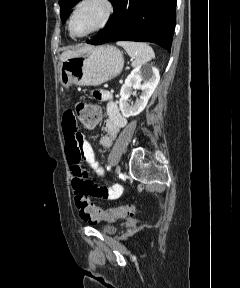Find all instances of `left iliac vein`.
Here are the masks:
<instances>
[{
	"label": "left iliac vein",
	"mask_w": 240,
	"mask_h": 288,
	"mask_svg": "<svg viewBox=\"0 0 240 288\" xmlns=\"http://www.w3.org/2000/svg\"><path fill=\"white\" fill-rule=\"evenodd\" d=\"M115 173H116L117 175L121 173V168H120V166H117V167H116Z\"/></svg>",
	"instance_id": "1"
}]
</instances>
